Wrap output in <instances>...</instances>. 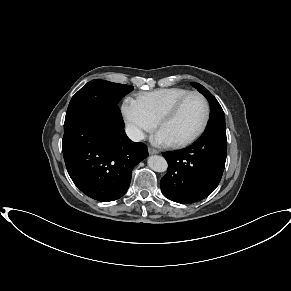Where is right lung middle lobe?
<instances>
[{
	"label": "right lung middle lobe",
	"mask_w": 291,
	"mask_h": 291,
	"mask_svg": "<svg viewBox=\"0 0 291 291\" xmlns=\"http://www.w3.org/2000/svg\"><path fill=\"white\" fill-rule=\"evenodd\" d=\"M133 90L132 86L104 80H92L71 99L65 121H88L92 117L116 107L121 98Z\"/></svg>",
	"instance_id": "right-lung-middle-lobe-1"
}]
</instances>
